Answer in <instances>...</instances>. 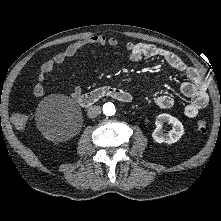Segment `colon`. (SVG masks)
<instances>
[{
	"mask_svg": "<svg viewBox=\"0 0 221 221\" xmlns=\"http://www.w3.org/2000/svg\"><path fill=\"white\" fill-rule=\"evenodd\" d=\"M12 122L16 128L23 129L27 123V116L23 113H17L12 117ZM196 127L200 133H206L208 131V125L205 120H199Z\"/></svg>",
	"mask_w": 221,
	"mask_h": 221,
	"instance_id": "obj_1",
	"label": "colon"
}]
</instances>
